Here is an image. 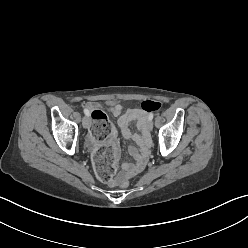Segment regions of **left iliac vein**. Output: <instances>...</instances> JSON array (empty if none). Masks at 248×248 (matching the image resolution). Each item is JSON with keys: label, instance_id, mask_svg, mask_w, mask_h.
I'll list each match as a JSON object with an SVG mask.
<instances>
[{"label": "left iliac vein", "instance_id": "left-iliac-vein-1", "mask_svg": "<svg viewBox=\"0 0 248 248\" xmlns=\"http://www.w3.org/2000/svg\"><path fill=\"white\" fill-rule=\"evenodd\" d=\"M147 129L149 131H152V129H153V122L152 121H148V123H147Z\"/></svg>", "mask_w": 248, "mask_h": 248}]
</instances>
